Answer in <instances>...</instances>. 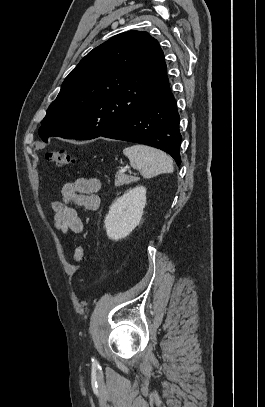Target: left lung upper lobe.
I'll return each mask as SVG.
<instances>
[{"mask_svg":"<svg viewBox=\"0 0 265 407\" xmlns=\"http://www.w3.org/2000/svg\"><path fill=\"white\" fill-rule=\"evenodd\" d=\"M164 54L144 31L118 34L90 51L64 80L39 136L93 139L156 98L168 86Z\"/></svg>","mask_w":265,"mask_h":407,"instance_id":"5c2ea615","label":"left lung upper lobe"}]
</instances>
